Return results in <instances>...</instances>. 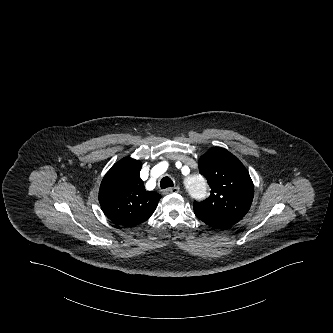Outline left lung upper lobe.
<instances>
[{
    "label": "left lung upper lobe",
    "mask_w": 333,
    "mask_h": 333,
    "mask_svg": "<svg viewBox=\"0 0 333 333\" xmlns=\"http://www.w3.org/2000/svg\"><path fill=\"white\" fill-rule=\"evenodd\" d=\"M199 171L208 180L211 194L203 202H194L195 215L214 228H227L240 221L250 209L254 186L240 160L226 149L214 147L198 162Z\"/></svg>",
    "instance_id": "left-lung-upper-lobe-1"
}]
</instances>
